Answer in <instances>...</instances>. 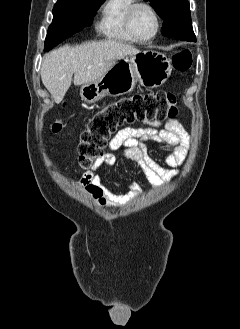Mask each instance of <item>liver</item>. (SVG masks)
<instances>
[{"mask_svg": "<svg viewBox=\"0 0 240 329\" xmlns=\"http://www.w3.org/2000/svg\"><path fill=\"white\" fill-rule=\"evenodd\" d=\"M140 51L132 45L105 40L76 47L65 45L47 54L42 62L41 79L54 101L60 103L74 74V84L84 85L102 77L115 63Z\"/></svg>", "mask_w": 240, "mask_h": 329, "instance_id": "6515ba94", "label": "liver"}]
</instances>
